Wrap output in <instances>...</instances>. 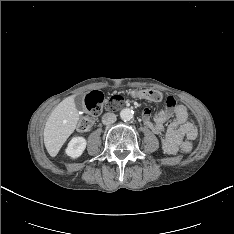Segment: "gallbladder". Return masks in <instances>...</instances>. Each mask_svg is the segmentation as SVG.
I'll return each instance as SVG.
<instances>
[{
    "instance_id": "1",
    "label": "gallbladder",
    "mask_w": 234,
    "mask_h": 234,
    "mask_svg": "<svg viewBox=\"0 0 234 234\" xmlns=\"http://www.w3.org/2000/svg\"><path fill=\"white\" fill-rule=\"evenodd\" d=\"M74 102H75L76 107L79 110H82L84 108V105H83V103H84V97H83V95H80V94L76 95L74 97Z\"/></svg>"
}]
</instances>
